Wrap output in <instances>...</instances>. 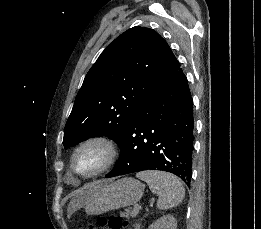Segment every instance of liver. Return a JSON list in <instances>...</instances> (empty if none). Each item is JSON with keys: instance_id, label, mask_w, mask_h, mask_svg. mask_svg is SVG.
Wrapping results in <instances>:
<instances>
[{"instance_id": "liver-1", "label": "liver", "mask_w": 261, "mask_h": 229, "mask_svg": "<svg viewBox=\"0 0 261 229\" xmlns=\"http://www.w3.org/2000/svg\"><path fill=\"white\" fill-rule=\"evenodd\" d=\"M74 197L75 199H73V203H71V205H74V203H79V201H86V187H84V189H78V191H75Z\"/></svg>"}]
</instances>
